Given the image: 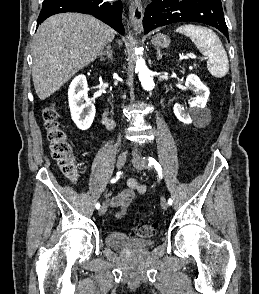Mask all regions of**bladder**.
<instances>
[{
	"instance_id": "31cf9c89",
	"label": "bladder",
	"mask_w": 259,
	"mask_h": 294,
	"mask_svg": "<svg viewBox=\"0 0 259 294\" xmlns=\"http://www.w3.org/2000/svg\"><path fill=\"white\" fill-rule=\"evenodd\" d=\"M106 244L110 247L120 248L129 251L142 250L152 244L149 239L132 237L122 232H110L105 238Z\"/></svg>"
}]
</instances>
